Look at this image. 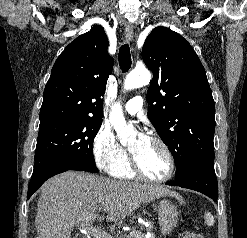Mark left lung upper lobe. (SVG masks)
<instances>
[{"label":"left lung upper lobe","instance_id":"1","mask_svg":"<svg viewBox=\"0 0 247 238\" xmlns=\"http://www.w3.org/2000/svg\"><path fill=\"white\" fill-rule=\"evenodd\" d=\"M142 58L153 72L148 118L170 149L179 179L194 164H214L215 104L196 52L180 34L156 27Z\"/></svg>","mask_w":247,"mask_h":238}]
</instances>
